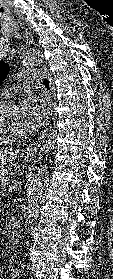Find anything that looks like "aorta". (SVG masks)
<instances>
[{"mask_svg": "<svg viewBox=\"0 0 113 279\" xmlns=\"http://www.w3.org/2000/svg\"><path fill=\"white\" fill-rule=\"evenodd\" d=\"M43 57L41 49L32 48L26 50L21 56V63L25 67H32L38 64ZM56 131L53 129H45L37 140V147L40 152L47 154L55 146ZM48 169L46 164L38 166L30 179L28 188V202L26 213L24 216L25 226L31 225L38 217L41 205L45 198V193L48 187Z\"/></svg>", "mask_w": 113, "mask_h": 279, "instance_id": "1", "label": "aorta"}]
</instances>
